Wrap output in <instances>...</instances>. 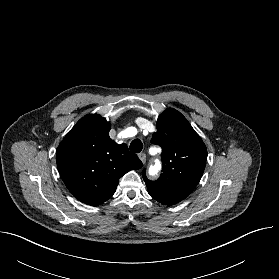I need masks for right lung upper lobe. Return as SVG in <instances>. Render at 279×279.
Here are the masks:
<instances>
[{"label":"right lung upper lobe","mask_w":279,"mask_h":279,"mask_svg":"<svg viewBox=\"0 0 279 279\" xmlns=\"http://www.w3.org/2000/svg\"><path fill=\"white\" fill-rule=\"evenodd\" d=\"M110 123L97 114L85 115L59 144L56 161L68 190L81 202L98 206L116 191L120 177L142 162L126 144L109 137Z\"/></svg>","instance_id":"cb5924a9"}]
</instances>
